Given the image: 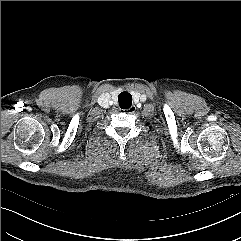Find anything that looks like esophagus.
Listing matches in <instances>:
<instances>
[{
    "label": "esophagus",
    "mask_w": 241,
    "mask_h": 241,
    "mask_svg": "<svg viewBox=\"0 0 241 241\" xmlns=\"http://www.w3.org/2000/svg\"><path fill=\"white\" fill-rule=\"evenodd\" d=\"M136 106L135 105H133V106H131L130 108H128V109H123L122 111L124 112V113H127V114H133L135 111H136Z\"/></svg>",
    "instance_id": "1"
}]
</instances>
